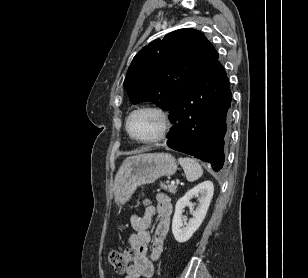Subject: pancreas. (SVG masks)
Here are the masks:
<instances>
[{"mask_svg": "<svg viewBox=\"0 0 308 278\" xmlns=\"http://www.w3.org/2000/svg\"><path fill=\"white\" fill-rule=\"evenodd\" d=\"M162 189H164L165 191H168L172 194H175L177 191V186L176 185H166L165 183H161L160 184Z\"/></svg>", "mask_w": 308, "mask_h": 278, "instance_id": "cf45deb5", "label": "pancreas"}]
</instances>
